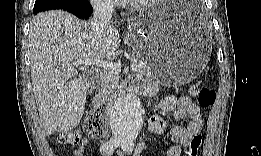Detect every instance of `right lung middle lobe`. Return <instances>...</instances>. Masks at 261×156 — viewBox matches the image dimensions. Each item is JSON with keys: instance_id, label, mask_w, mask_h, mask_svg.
Masks as SVG:
<instances>
[{"instance_id": "right-lung-middle-lobe-1", "label": "right lung middle lobe", "mask_w": 261, "mask_h": 156, "mask_svg": "<svg viewBox=\"0 0 261 156\" xmlns=\"http://www.w3.org/2000/svg\"><path fill=\"white\" fill-rule=\"evenodd\" d=\"M76 1L77 0H36L34 12L71 6Z\"/></svg>"}]
</instances>
